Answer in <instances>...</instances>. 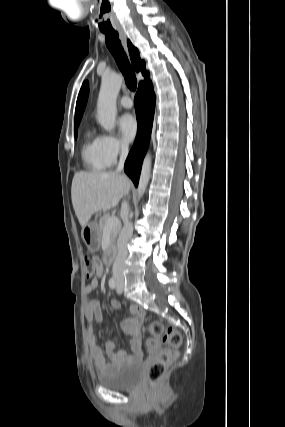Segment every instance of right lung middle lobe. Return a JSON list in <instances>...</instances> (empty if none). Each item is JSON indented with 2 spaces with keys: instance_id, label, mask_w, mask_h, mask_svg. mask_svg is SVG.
<instances>
[{
  "instance_id": "1",
  "label": "right lung middle lobe",
  "mask_w": 285,
  "mask_h": 427,
  "mask_svg": "<svg viewBox=\"0 0 285 427\" xmlns=\"http://www.w3.org/2000/svg\"><path fill=\"white\" fill-rule=\"evenodd\" d=\"M75 138L77 137V128H74Z\"/></svg>"
}]
</instances>
